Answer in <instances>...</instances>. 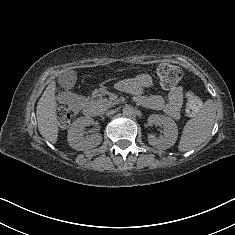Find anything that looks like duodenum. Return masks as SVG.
<instances>
[{"mask_svg":"<svg viewBox=\"0 0 235 235\" xmlns=\"http://www.w3.org/2000/svg\"><path fill=\"white\" fill-rule=\"evenodd\" d=\"M84 105H85V107H86L87 113H88L90 116H92V114L94 113V108H93V106L91 105L90 100H89V99H86Z\"/></svg>","mask_w":235,"mask_h":235,"instance_id":"duodenum-1","label":"duodenum"}]
</instances>
